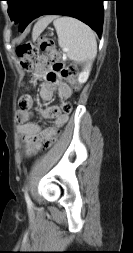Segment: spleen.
<instances>
[{"mask_svg": "<svg viewBox=\"0 0 133 253\" xmlns=\"http://www.w3.org/2000/svg\"><path fill=\"white\" fill-rule=\"evenodd\" d=\"M58 44L67 57L77 64L91 63L97 53V43L92 29L72 17H59L53 22Z\"/></svg>", "mask_w": 133, "mask_h": 253, "instance_id": "3e777b00", "label": "spleen"}]
</instances>
